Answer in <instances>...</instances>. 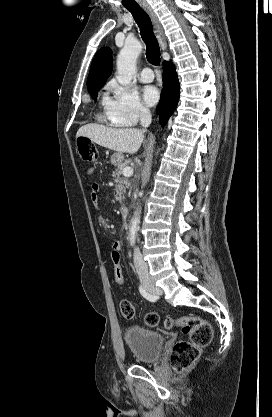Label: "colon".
Here are the masks:
<instances>
[{
    "label": "colon",
    "instance_id": "1",
    "mask_svg": "<svg viewBox=\"0 0 272 417\" xmlns=\"http://www.w3.org/2000/svg\"><path fill=\"white\" fill-rule=\"evenodd\" d=\"M79 156L87 162H97L99 152L96 146L86 138H80L77 142ZM111 259L114 267V279L118 285H123L124 272L121 266L120 252L112 250ZM121 314L127 319L136 317L134 306L127 300H122L119 304ZM146 324L155 327L159 323L156 314L150 313L146 316ZM167 328L179 327L182 332L189 336L188 340L178 341L171 352V364L178 373H183L190 369L199 359L201 349L206 346L213 337L211 325L198 316H183L179 318H167L165 320Z\"/></svg>",
    "mask_w": 272,
    "mask_h": 417
}]
</instances>
